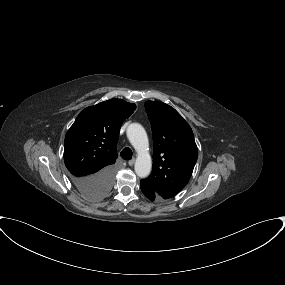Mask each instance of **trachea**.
I'll list each match as a JSON object with an SVG mask.
<instances>
[{
  "mask_svg": "<svg viewBox=\"0 0 285 285\" xmlns=\"http://www.w3.org/2000/svg\"><path fill=\"white\" fill-rule=\"evenodd\" d=\"M121 157L125 160H130L132 158V150L129 147L124 148L121 153Z\"/></svg>",
  "mask_w": 285,
  "mask_h": 285,
  "instance_id": "1",
  "label": "trachea"
}]
</instances>
